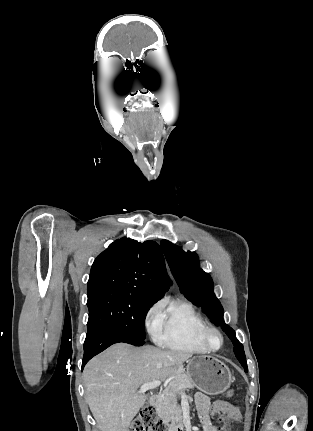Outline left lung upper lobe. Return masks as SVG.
Here are the masks:
<instances>
[{
    "instance_id": "5c2ea615",
    "label": "left lung upper lobe",
    "mask_w": 313,
    "mask_h": 431,
    "mask_svg": "<svg viewBox=\"0 0 313 431\" xmlns=\"http://www.w3.org/2000/svg\"><path fill=\"white\" fill-rule=\"evenodd\" d=\"M160 244L181 293L193 304L202 307L212 323L223 328L232 340L237 359L247 372L243 345L237 340L235 331L225 324L223 308L213 292V281L209 274L199 267L197 254L184 252L167 240H162Z\"/></svg>"
}]
</instances>
